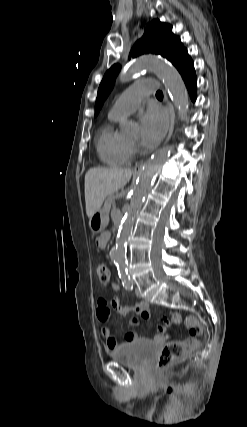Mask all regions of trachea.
I'll use <instances>...</instances> for the list:
<instances>
[{
    "instance_id": "3493384b",
    "label": "trachea",
    "mask_w": 247,
    "mask_h": 427,
    "mask_svg": "<svg viewBox=\"0 0 247 427\" xmlns=\"http://www.w3.org/2000/svg\"><path fill=\"white\" fill-rule=\"evenodd\" d=\"M156 96L157 97H163V93L161 91H157Z\"/></svg>"
}]
</instances>
